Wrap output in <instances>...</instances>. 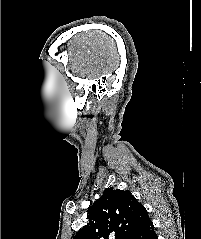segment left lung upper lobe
Masks as SVG:
<instances>
[{"label": "left lung upper lobe", "instance_id": "left-lung-upper-lobe-1", "mask_svg": "<svg viewBox=\"0 0 201 239\" xmlns=\"http://www.w3.org/2000/svg\"><path fill=\"white\" fill-rule=\"evenodd\" d=\"M89 222L73 239H130L146 222L147 211L130 191L107 188L103 195L89 206Z\"/></svg>", "mask_w": 201, "mask_h": 239}]
</instances>
